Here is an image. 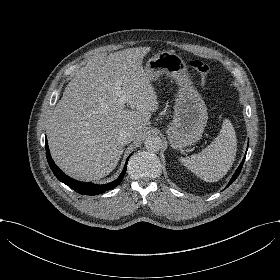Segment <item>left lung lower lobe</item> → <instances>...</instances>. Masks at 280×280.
<instances>
[{"instance_id":"1","label":"left lung lower lobe","mask_w":280,"mask_h":280,"mask_svg":"<svg viewBox=\"0 0 280 280\" xmlns=\"http://www.w3.org/2000/svg\"><path fill=\"white\" fill-rule=\"evenodd\" d=\"M245 157H246V155L244 156V158H243V160H242L240 166L238 167V169L236 170L235 174H234L233 177L231 178V180H230L229 184L227 185V187H228L230 184H232V183L235 181V179L238 177V175H239V173H240V171H241V169H242V166H243Z\"/></svg>"}]
</instances>
